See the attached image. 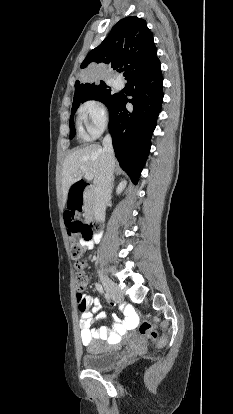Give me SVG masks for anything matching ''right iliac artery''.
<instances>
[{
	"instance_id": "right-iliac-artery-1",
	"label": "right iliac artery",
	"mask_w": 233,
	"mask_h": 414,
	"mask_svg": "<svg viewBox=\"0 0 233 414\" xmlns=\"http://www.w3.org/2000/svg\"><path fill=\"white\" fill-rule=\"evenodd\" d=\"M95 287H96V289L98 290V292H99V293H101V294H104V293H105V292H104V289H103V287H102V285H101V284L96 283V284H95Z\"/></svg>"
}]
</instances>
